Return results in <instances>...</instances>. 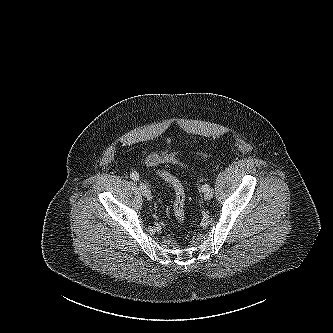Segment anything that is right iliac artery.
I'll return each mask as SVG.
<instances>
[{"label": "right iliac artery", "instance_id": "1", "mask_svg": "<svg viewBox=\"0 0 333 333\" xmlns=\"http://www.w3.org/2000/svg\"><path fill=\"white\" fill-rule=\"evenodd\" d=\"M130 177H131V179L134 180V181L139 180V175H138V173H136V172L131 173Z\"/></svg>", "mask_w": 333, "mask_h": 333}]
</instances>
